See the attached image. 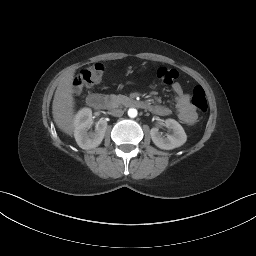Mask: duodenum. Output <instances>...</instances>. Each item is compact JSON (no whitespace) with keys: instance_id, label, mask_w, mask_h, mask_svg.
Segmentation results:
<instances>
[{"instance_id":"410a0bca","label":"duodenum","mask_w":256,"mask_h":256,"mask_svg":"<svg viewBox=\"0 0 256 256\" xmlns=\"http://www.w3.org/2000/svg\"><path fill=\"white\" fill-rule=\"evenodd\" d=\"M107 103V99L104 95L98 94V93H91L87 97V104L89 107L95 109V110H100L105 107ZM130 104L134 107L138 108H149L148 104L144 101L140 100H131Z\"/></svg>"}]
</instances>
